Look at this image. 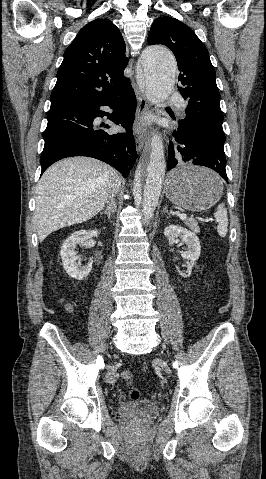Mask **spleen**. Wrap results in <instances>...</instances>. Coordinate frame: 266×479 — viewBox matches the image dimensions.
<instances>
[{
  "label": "spleen",
  "mask_w": 266,
  "mask_h": 479,
  "mask_svg": "<svg viewBox=\"0 0 266 479\" xmlns=\"http://www.w3.org/2000/svg\"><path fill=\"white\" fill-rule=\"evenodd\" d=\"M214 217L218 222L217 232L219 236L223 238L226 236L228 231L227 209L225 208L224 203L218 205Z\"/></svg>",
  "instance_id": "spleen-1"
}]
</instances>
